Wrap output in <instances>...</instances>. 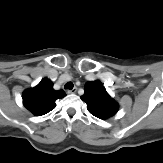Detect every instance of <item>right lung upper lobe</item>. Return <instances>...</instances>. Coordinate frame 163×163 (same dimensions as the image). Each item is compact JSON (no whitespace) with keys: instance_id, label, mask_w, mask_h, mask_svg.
I'll return each mask as SVG.
<instances>
[{"instance_id":"cb5924a9","label":"right lung upper lobe","mask_w":163,"mask_h":163,"mask_svg":"<svg viewBox=\"0 0 163 163\" xmlns=\"http://www.w3.org/2000/svg\"><path fill=\"white\" fill-rule=\"evenodd\" d=\"M66 96L63 90L53 89L51 80L44 78L34 88L23 92L24 106L36 116L44 115L56 107L55 101Z\"/></svg>"}]
</instances>
